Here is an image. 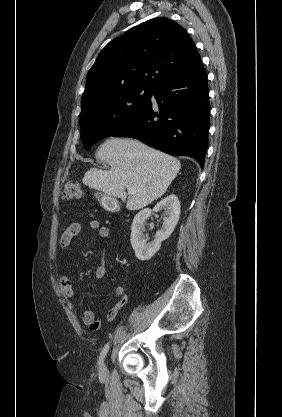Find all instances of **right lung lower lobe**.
<instances>
[{
  "label": "right lung lower lobe",
  "instance_id": "right-lung-lower-lobe-1",
  "mask_svg": "<svg viewBox=\"0 0 282 417\" xmlns=\"http://www.w3.org/2000/svg\"><path fill=\"white\" fill-rule=\"evenodd\" d=\"M203 64L162 83L150 101L113 137L136 138L173 156H192L204 167L210 127Z\"/></svg>",
  "mask_w": 282,
  "mask_h": 417
}]
</instances>
